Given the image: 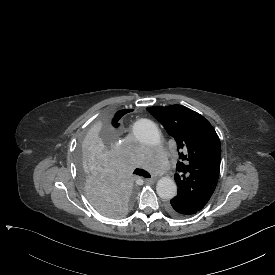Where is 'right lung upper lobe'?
<instances>
[{
    "label": "right lung upper lobe",
    "instance_id": "1",
    "mask_svg": "<svg viewBox=\"0 0 275 275\" xmlns=\"http://www.w3.org/2000/svg\"><path fill=\"white\" fill-rule=\"evenodd\" d=\"M131 111L132 110H121V111H118L116 114H118L120 116V118H121L124 114H126L128 112H131Z\"/></svg>",
    "mask_w": 275,
    "mask_h": 275
}]
</instances>
